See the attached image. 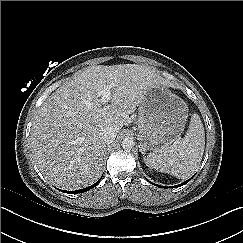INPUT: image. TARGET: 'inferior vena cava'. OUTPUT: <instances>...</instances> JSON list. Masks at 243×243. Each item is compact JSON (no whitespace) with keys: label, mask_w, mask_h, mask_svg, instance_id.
I'll use <instances>...</instances> for the list:
<instances>
[{"label":"inferior vena cava","mask_w":243,"mask_h":243,"mask_svg":"<svg viewBox=\"0 0 243 243\" xmlns=\"http://www.w3.org/2000/svg\"><path fill=\"white\" fill-rule=\"evenodd\" d=\"M117 132H118L117 128L112 126L107 127L106 129H104L101 135L102 141L105 144H111L115 140Z\"/></svg>","instance_id":"obj_1"}]
</instances>
